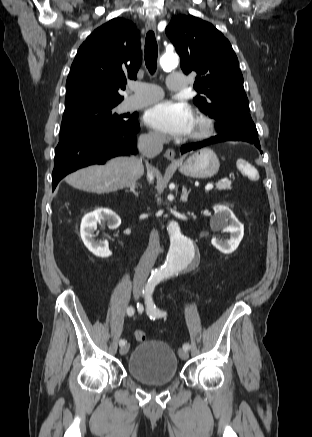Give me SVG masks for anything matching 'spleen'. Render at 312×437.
I'll return each instance as SVG.
<instances>
[{"label": "spleen", "mask_w": 312, "mask_h": 437, "mask_svg": "<svg viewBox=\"0 0 312 437\" xmlns=\"http://www.w3.org/2000/svg\"><path fill=\"white\" fill-rule=\"evenodd\" d=\"M236 165H237V168L239 170H241L245 174H248L251 178H253V179H257L258 178L257 173L256 172L254 173L252 171L250 165L247 162H245L243 159H238L237 162H236Z\"/></svg>", "instance_id": "3e777b00"}]
</instances>
